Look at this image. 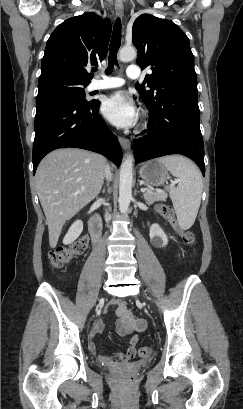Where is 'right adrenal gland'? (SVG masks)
Instances as JSON below:
<instances>
[{
    "mask_svg": "<svg viewBox=\"0 0 243 409\" xmlns=\"http://www.w3.org/2000/svg\"><path fill=\"white\" fill-rule=\"evenodd\" d=\"M102 193H105V189L102 190Z\"/></svg>",
    "mask_w": 243,
    "mask_h": 409,
    "instance_id": "obj_1",
    "label": "right adrenal gland"
}]
</instances>
